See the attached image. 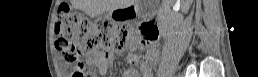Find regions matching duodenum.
Segmentation results:
<instances>
[{
  "label": "duodenum",
  "instance_id": "duodenum-1",
  "mask_svg": "<svg viewBox=\"0 0 258 77\" xmlns=\"http://www.w3.org/2000/svg\"><path fill=\"white\" fill-rule=\"evenodd\" d=\"M125 11H126V14H129V13H130V9H126ZM147 26H149V27L154 26V27H155V29H156V30H155V31H156L155 35L157 34V27H156L155 25L147 24ZM155 35H154V36H155Z\"/></svg>",
  "mask_w": 258,
  "mask_h": 77
}]
</instances>
